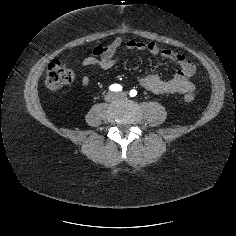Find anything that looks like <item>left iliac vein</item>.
I'll use <instances>...</instances> for the list:
<instances>
[{
  "mask_svg": "<svg viewBox=\"0 0 236 236\" xmlns=\"http://www.w3.org/2000/svg\"><path fill=\"white\" fill-rule=\"evenodd\" d=\"M118 98H126L127 94L126 92H120L119 94H117Z\"/></svg>",
  "mask_w": 236,
  "mask_h": 236,
  "instance_id": "obj_1",
  "label": "left iliac vein"
}]
</instances>
